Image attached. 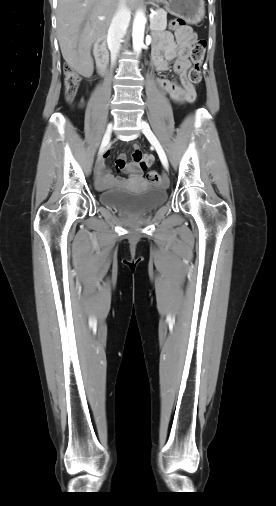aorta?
<instances>
[{"label": "aorta", "instance_id": "762f6f07", "mask_svg": "<svg viewBox=\"0 0 276 506\" xmlns=\"http://www.w3.org/2000/svg\"><path fill=\"white\" fill-rule=\"evenodd\" d=\"M146 18L144 13L139 10L136 12L133 28H132V42L134 52L139 54L144 46V31H145Z\"/></svg>", "mask_w": 276, "mask_h": 506}]
</instances>
